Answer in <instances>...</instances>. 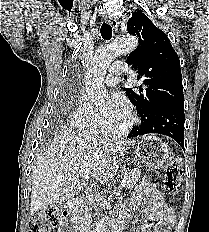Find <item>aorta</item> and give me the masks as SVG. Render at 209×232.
Listing matches in <instances>:
<instances>
[{
    "mask_svg": "<svg viewBox=\"0 0 209 232\" xmlns=\"http://www.w3.org/2000/svg\"><path fill=\"white\" fill-rule=\"evenodd\" d=\"M138 41L134 36L126 35L114 40L106 48L99 50L90 62L86 78L85 87L87 94L96 107L106 108L108 93L103 80L111 62L120 54H124L136 49ZM106 218H102L96 224L94 232H106Z\"/></svg>",
    "mask_w": 209,
    "mask_h": 232,
    "instance_id": "762f6f07",
    "label": "aorta"
}]
</instances>
